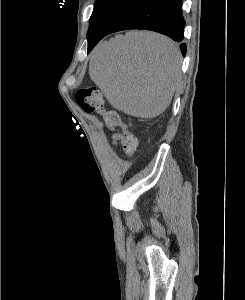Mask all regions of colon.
Segmentation results:
<instances>
[{
  "instance_id": "1",
  "label": "colon",
  "mask_w": 245,
  "mask_h": 300,
  "mask_svg": "<svg viewBox=\"0 0 245 300\" xmlns=\"http://www.w3.org/2000/svg\"><path fill=\"white\" fill-rule=\"evenodd\" d=\"M79 106L89 114H99L109 127L118 128L122 134V147L124 153L132 157L137 149L136 136L121 122L115 111H106L101 92L96 87H86L76 93Z\"/></svg>"
}]
</instances>
